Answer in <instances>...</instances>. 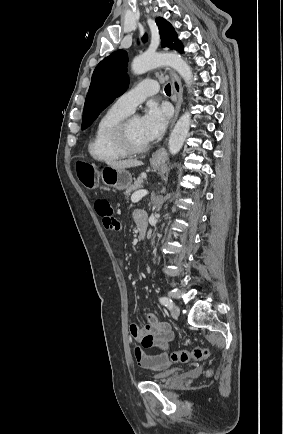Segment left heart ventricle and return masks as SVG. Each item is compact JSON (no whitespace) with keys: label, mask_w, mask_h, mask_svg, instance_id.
I'll return each mask as SVG.
<instances>
[{"label":"left heart ventricle","mask_w":283,"mask_h":434,"mask_svg":"<svg viewBox=\"0 0 283 434\" xmlns=\"http://www.w3.org/2000/svg\"><path fill=\"white\" fill-rule=\"evenodd\" d=\"M129 132L131 139L136 144H145L147 141L142 135L141 131V118L140 117H134L130 123L129 126Z\"/></svg>","instance_id":"obj_1"}]
</instances>
